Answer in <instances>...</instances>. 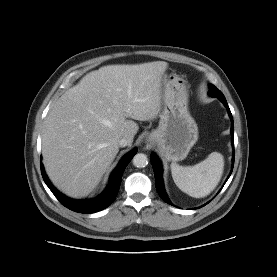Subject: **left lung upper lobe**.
Returning <instances> with one entry per match:
<instances>
[{"mask_svg":"<svg viewBox=\"0 0 277 277\" xmlns=\"http://www.w3.org/2000/svg\"><path fill=\"white\" fill-rule=\"evenodd\" d=\"M209 96L216 97L221 101L226 100L223 93L216 88L213 84H209Z\"/></svg>","mask_w":277,"mask_h":277,"instance_id":"5c2ea615","label":"left lung upper lobe"}]
</instances>
